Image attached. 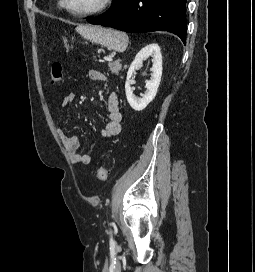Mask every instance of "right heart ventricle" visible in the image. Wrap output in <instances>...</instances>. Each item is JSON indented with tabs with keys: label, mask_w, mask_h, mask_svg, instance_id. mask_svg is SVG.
I'll list each match as a JSON object with an SVG mask.
<instances>
[{
	"label": "right heart ventricle",
	"mask_w": 255,
	"mask_h": 272,
	"mask_svg": "<svg viewBox=\"0 0 255 272\" xmlns=\"http://www.w3.org/2000/svg\"><path fill=\"white\" fill-rule=\"evenodd\" d=\"M58 6H59V8H62V6H61V2L59 1V3H58Z\"/></svg>",
	"instance_id": "e07e8e85"
}]
</instances>
